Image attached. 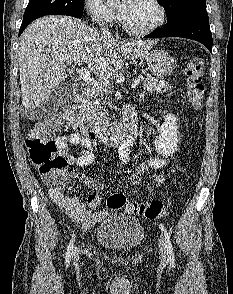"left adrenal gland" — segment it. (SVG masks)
<instances>
[{
    "instance_id": "obj_1",
    "label": "left adrenal gland",
    "mask_w": 233,
    "mask_h": 294,
    "mask_svg": "<svg viewBox=\"0 0 233 294\" xmlns=\"http://www.w3.org/2000/svg\"><path fill=\"white\" fill-rule=\"evenodd\" d=\"M143 98H144V94H143V93H140V94H139V99H140V101H142Z\"/></svg>"
}]
</instances>
